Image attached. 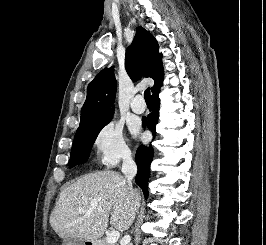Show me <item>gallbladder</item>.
<instances>
[{"label":"gallbladder","instance_id":"bac80fb5","mask_svg":"<svg viewBox=\"0 0 266 245\" xmlns=\"http://www.w3.org/2000/svg\"><path fill=\"white\" fill-rule=\"evenodd\" d=\"M76 239H68V245H76Z\"/></svg>","mask_w":266,"mask_h":245}]
</instances>
